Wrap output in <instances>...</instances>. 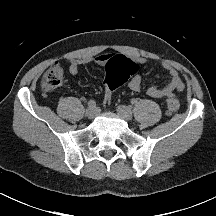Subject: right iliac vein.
I'll return each mask as SVG.
<instances>
[{"mask_svg": "<svg viewBox=\"0 0 216 216\" xmlns=\"http://www.w3.org/2000/svg\"><path fill=\"white\" fill-rule=\"evenodd\" d=\"M85 114L87 118L93 119L97 116L98 110L96 107H88Z\"/></svg>", "mask_w": 216, "mask_h": 216, "instance_id": "obj_1", "label": "right iliac vein"}]
</instances>
